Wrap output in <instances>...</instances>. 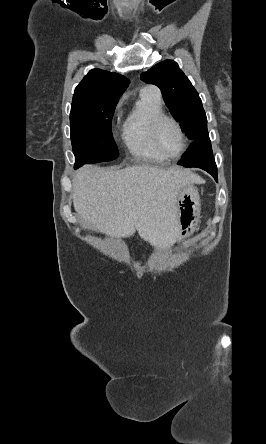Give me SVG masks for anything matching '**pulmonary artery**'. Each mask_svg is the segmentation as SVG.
<instances>
[{
  "label": "pulmonary artery",
  "mask_w": 266,
  "mask_h": 444,
  "mask_svg": "<svg viewBox=\"0 0 266 444\" xmlns=\"http://www.w3.org/2000/svg\"><path fill=\"white\" fill-rule=\"evenodd\" d=\"M142 92L151 93V94H154V95L160 97V91H159V89H158L157 87H155V86H147V87H145V88L142 90Z\"/></svg>",
  "instance_id": "e3ab8cb5"
}]
</instances>
